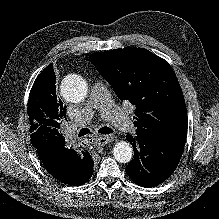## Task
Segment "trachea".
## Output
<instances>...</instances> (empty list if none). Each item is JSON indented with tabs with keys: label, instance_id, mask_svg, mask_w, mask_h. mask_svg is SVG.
<instances>
[{
	"label": "trachea",
	"instance_id": "1",
	"mask_svg": "<svg viewBox=\"0 0 219 219\" xmlns=\"http://www.w3.org/2000/svg\"><path fill=\"white\" fill-rule=\"evenodd\" d=\"M98 133L100 134H110V133H113V130L107 126H104L102 128H100L98 130ZM87 134H91V132L87 129V128H82L79 132V136L82 137V136H85Z\"/></svg>",
	"mask_w": 219,
	"mask_h": 219
}]
</instances>
